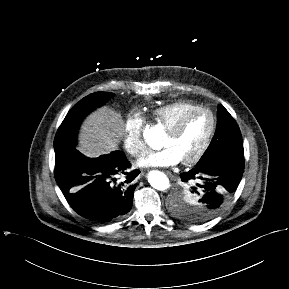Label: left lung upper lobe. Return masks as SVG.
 Returning a JSON list of instances; mask_svg holds the SVG:
<instances>
[{
	"instance_id": "1",
	"label": "left lung upper lobe",
	"mask_w": 289,
	"mask_h": 289,
	"mask_svg": "<svg viewBox=\"0 0 289 289\" xmlns=\"http://www.w3.org/2000/svg\"><path fill=\"white\" fill-rule=\"evenodd\" d=\"M228 156L244 157L243 142L237 123L230 113L219 105L215 135L196 165ZM171 211L176 217L191 223L209 220L200 216V206L191 189H181L177 192L171 203Z\"/></svg>"
}]
</instances>
